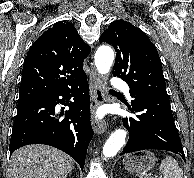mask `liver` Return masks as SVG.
Listing matches in <instances>:
<instances>
[{
    "mask_svg": "<svg viewBox=\"0 0 194 178\" xmlns=\"http://www.w3.org/2000/svg\"><path fill=\"white\" fill-rule=\"evenodd\" d=\"M74 160L47 145H28L16 150L10 159L9 178H66Z\"/></svg>",
    "mask_w": 194,
    "mask_h": 178,
    "instance_id": "obj_1",
    "label": "liver"
}]
</instances>
